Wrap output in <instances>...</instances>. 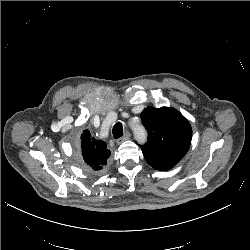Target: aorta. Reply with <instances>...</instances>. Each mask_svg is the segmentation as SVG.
Segmentation results:
<instances>
[{
	"instance_id": "762f6f07",
	"label": "aorta",
	"mask_w": 250,
	"mask_h": 250,
	"mask_svg": "<svg viewBox=\"0 0 250 250\" xmlns=\"http://www.w3.org/2000/svg\"><path fill=\"white\" fill-rule=\"evenodd\" d=\"M130 128H131V130L133 132L134 138L138 142H144L146 140L147 133H146V130L144 129V127L142 125L131 123Z\"/></svg>"
}]
</instances>
